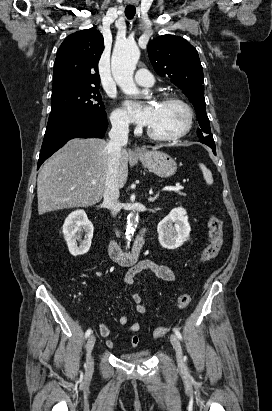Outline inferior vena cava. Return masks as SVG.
<instances>
[{"mask_svg": "<svg viewBox=\"0 0 272 411\" xmlns=\"http://www.w3.org/2000/svg\"><path fill=\"white\" fill-rule=\"evenodd\" d=\"M112 128L109 132V158L104 183V205L111 211L112 216H116L121 210L119 203L118 172L122 147L128 142L129 124L121 117L110 119Z\"/></svg>", "mask_w": 272, "mask_h": 411, "instance_id": "obj_1", "label": "inferior vena cava"}]
</instances>
